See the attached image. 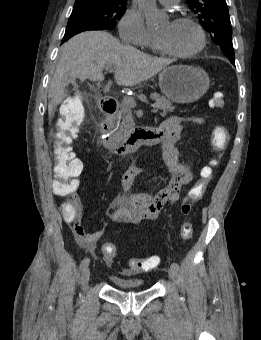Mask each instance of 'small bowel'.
<instances>
[{
  "label": "small bowel",
  "mask_w": 261,
  "mask_h": 340,
  "mask_svg": "<svg viewBox=\"0 0 261 340\" xmlns=\"http://www.w3.org/2000/svg\"><path fill=\"white\" fill-rule=\"evenodd\" d=\"M184 121L202 124L205 119L203 117L189 119L170 117L157 127L158 133L162 138L163 161L171 172V178L166 187L155 195L132 193L131 190L135 178L144 169L138 166L130 167L122 177L123 193L113 202L114 206H120V208L109 214L112 222L139 224L146 220H156L161 209L166 204L174 205L179 200L182 188L192 182L193 174L191 166L180 159L176 147V143L181 136ZM74 203L76 206L75 214L72 216L63 215L64 221L69 224L78 244L86 251L92 253L96 248L97 242L104 236L106 227L103 226L94 233H86L81 223V202L79 199H76Z\"/></svg>",
  "instance_id": "c3829d8e"
}]
</instances>
